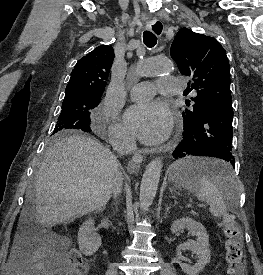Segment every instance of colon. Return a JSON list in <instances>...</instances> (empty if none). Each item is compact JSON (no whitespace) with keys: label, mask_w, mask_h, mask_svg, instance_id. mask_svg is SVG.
Instances as JSON below:
<instances>
[{"label":"colon","mask_w":263,"mask_h":275,"mask_svg":"<svg viewBox=\"0 0 263 275\" xmlns=\"http://www.w3.org/2000/svg\"><path fill=\"white\" fill-rule=\"evenodd\" d=\"M221 225L225 236L227 272L230 275H244L243 241L239 225L230 214L222 218ZM84 269L85 264L81 253L75 248L70 249L67 252L65 275L83 274Z\"/></svg>","instance_id":"obj_1"}]
</instances>
